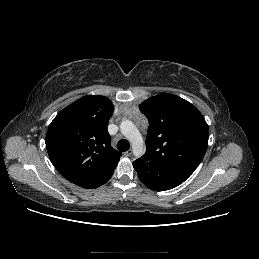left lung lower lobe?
Here are the masks:
<instances>
[{"instance_id":"1","label":"left lung lower lobe","mask_w":259,"mask_h":259,"mask_svg":"<svg viewBox=\"0 0 259 259\" xmlns=\"http://www.w3.org/2000/svg\"><path fill=\"white\" fill-rule=\"evenodd\" d=\"M133 167L142 183L155 191H166L175 188L190 176L140 158L133 162Z\"/></svg>"}]
</instances>
